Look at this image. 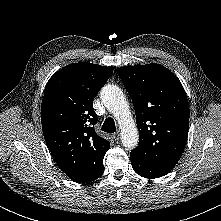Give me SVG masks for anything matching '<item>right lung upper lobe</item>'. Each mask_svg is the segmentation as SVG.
<instances>
[{
	"instance_id": "right-lung-upper-lobe-1",
	"label": "right lung upper lobe",
	"mask_w": 221,
	"mask_h": 221,
	"mask_svg": "<svg viewBox=\"0 0 221 221\" xmlns=\"http://www.w3.org/2000/svg\"><path fill=\"white\" fill-rule=\"evenodd\" d=\"M113 67L75 63L47 82L41 122L47 146L59 166L77 183H89L104 172L103 158L110 143L94 130L93 99Z\"/></svg>"
}]
</instances>
